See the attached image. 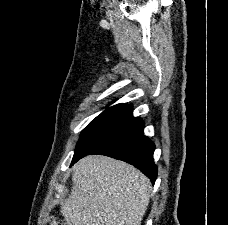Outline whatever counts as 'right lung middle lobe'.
Listing matches in <instances>:
<instances>
[{"label":"right lung middle lobe","instance_id":"1","mask_svg":"<svg viewBox=\"0 0 228 225\" xmlns=\"http://www.w3.org/2000/svg\"><path fill=\"white\" fill-rule=\"evenodd\" d=\"M125 106H126L125 104H117L115 106L109 107L105 111H103L100 115H98L95 119H93L89 123V125L82 131V133L80 135V139L76 145V148L94 129H96L103 122H105L106 120L111 118L113 115H115L121 109H123Z\"/></svg>","mask_w":228,"mask_h":225}]
</instances>
